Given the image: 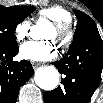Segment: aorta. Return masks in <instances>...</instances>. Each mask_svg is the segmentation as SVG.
<instances>
[{
	"label": "aorta",
	"mask_w": 103,
	"mask_h": 103,
	"mask_svg": "<svg viewBox=\"0 0 103 103\" xmlns=\"http://www.w3.org/2000/svg\"><path fill=\"white\" fill-rule=\"evenodd\" d=\"M36 84L46 91L53 90L59 83V72L53 66L38 68L34 76Z\"/></svg>",
	"instance_id": "1"
}]
</instances>
